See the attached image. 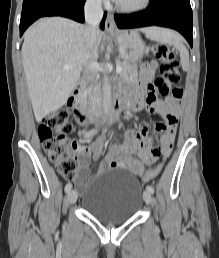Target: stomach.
<instances>
[{"instance_id":"obj_1","label":"stomach","mask_w":219,"mask_h":258,"mask_svg":"<svg viewBox=\"0 0 219 258\" xmlns=\"http://www.w3.org/2000/svg\"><path fill=\"white\" fill-rule=\"evenodd\" d=\"M120 56L131 63L139 61L145 53V44L135 30H124L112 35Z\"/></svg>"}]
</instances>
